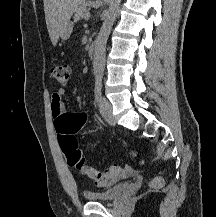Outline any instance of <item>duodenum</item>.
I'll return each instance as SVG.
<instances>
[{
    "instance_id": "obj_1",
    "label": "duodenum",
    "mask_w": 216,
    "mask_h": 217,
    "mask_svg": "<svg viewBox=\"0 0 216 217\" xmlns=\"http://www.w3.org/2000/svg\"><path fill=\"white\" fill-rule=\"evenodd\" d=\"M95 49H96V44L94 41L90 42L89 46H88V54L90 56V58H94L95 56Z\"/></svg>"
}]
</instances>
